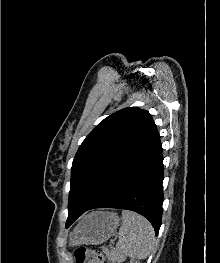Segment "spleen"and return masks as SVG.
<instances>
[{
    "mask_svg": "<svg viewBox=\"0 0 220 263\" xmlns=\"http://www.w3.org/2000/svg\"><path fill=\"white\" fill-rule=\"evenodd\" d=\"M154 241V229L146 218L132 211H122L117 253L141 260L150 254Z\"/></svg>",
    "mask_w": 220,
    "mask_h": 263,
    "instance_id": "obj_1",
    "label": "spleen"
}]
</instances>
